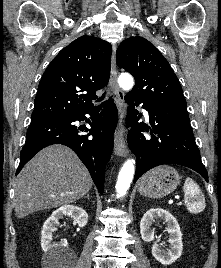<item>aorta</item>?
Returning <instances> with one entry per match:
<instances>
[{
    "label": "aorta",
    "mask_w": 221,
    "mask_h": 268,
    "mask_svg": "<svg viewBox=\"0 0 221 268\" xmlns=\"http://www.w3.org/2000/svg\"><path fill=\"white\" fill-rule=\"evenodd\" d=\"M118 84L122 89L130 90L134 86L133 77L130 74H121L118 78ZM134 164L135 161L133 159H128L120 169L116 183L118 197L125 196L130 187L135 172Z\"/></svg>",
    "instance_id": "obj_1"
}]
</instances>
